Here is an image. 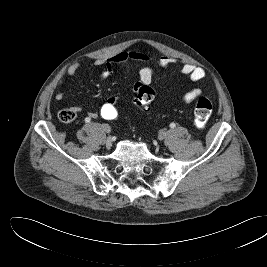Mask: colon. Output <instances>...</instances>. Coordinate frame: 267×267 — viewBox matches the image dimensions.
<instances>
[{"instance_id":"1","label":"colon","mask_w":267,"mask_h":267,"mask_svg":"<svg viewBox=\"0 0 267 267\" xmlns=\"http://www.w3.org/2000/svg\"><path fill=\"white\" fill-rule=\"evenodd\" d=\"M155 93L147 85H141L136 89L135 103L139 106H149L154 100ZM212 113V104L206 97H199L195 104L194 117L197 129L205 128ZM97 114L106 121H115L120 114L118 101L108 98L99 107ZM58 118L63 123H71L75 119V112L71 109H63Z\"/></svg>"}]
</instances>
